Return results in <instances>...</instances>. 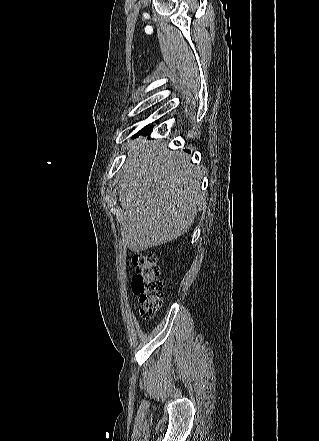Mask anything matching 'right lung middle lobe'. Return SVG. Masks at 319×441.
Wrapping results in <instances>:
<instances>
[{"label": "right lung middle lobe", "mask_w": 319, "mask_h": 441, "mask_svg": "<svg viewBox=\"0 0 319 441\" xmlns=\"http://www.w3.org/2000/svg\"><path fill=\"white\" fill-rule=\"evenodd\" d=\"M147 128V126L146 127H144L142 130H140L136 135H135V137H137V136H139L140 135V133L144 130V129H146Z\"/></svg>", "instance_id": "dd1d6c3e"}]
</instances>
